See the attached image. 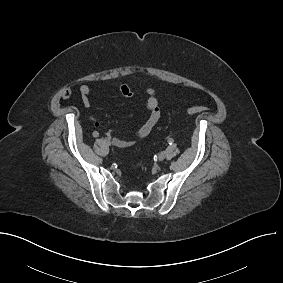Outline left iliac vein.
Instances as JSON below:
<instances>
[{
    "label": "left iliac vein",
    "instance_id": "1",
    "mask_svg": "<svg viewBox=\"0 0 283 283\" xmlns=\"http://www.w3.org/2000/svg\"><path fill=\"white\" fill-rule=\"evenodd\" d=\"M166 157V153L165 152H161L159 155H158V160L159 161H163Z\"/></svg>",
    "mask_w": 283,
    "mask_h": 283
}]
</instances>
